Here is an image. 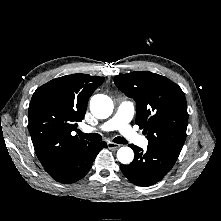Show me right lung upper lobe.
I'll return each instance as SVG.
<instances>
[{
	"label": "right lung upper lobe",
	"instance_id": "cb5924a9",
	"mask_svg": "<svg viewBox=\"0 0 221 221\" xmlns=\"http://www.w3.org/2000/svg\"><path fill=\"white\" fill-rule=\"evenodd\" d=\"M103 81L104 77L87 74L66 75L34 92L29 105V132L35 153L47 172L91 144L72 132L84 119L88 100Z\"/></svg>",
	"mask_w": 221,
	"mask_h": 221
}]
</instances>
